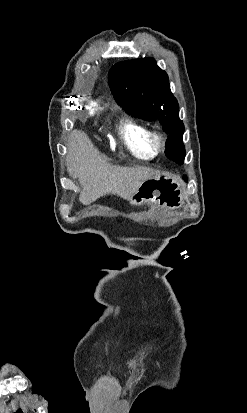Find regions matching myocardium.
<instances>
[{
  "label": "myocardium",
  "mask_w": 247,
  "mask_h": 413,
  "mask_svg": "<svg viewBox=\"0 0 247 413\" xmlns=\"http://www.w3.org/2000/svg\"><path fill=\"white\" fill-rule=\"evenodd\" d=\"M145 140L147 146L155 153H160L164 150L165 139L163 135L156 130H146Z\"/></svg>",
  "instance_id": "f54148a6"
}]
</instances>
